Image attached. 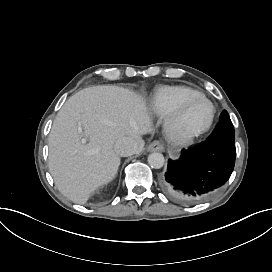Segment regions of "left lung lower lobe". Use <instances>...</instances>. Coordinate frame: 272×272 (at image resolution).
Wrapping results in <instances>:
<instances>
[{
  "label": "left lung lower lobe",
  "mask_w": 272,
  "mask_h": 272,
  "mask_svg": "<svg viewBox=\"0 0 272 272\" xmlns=\"http://www.w3.org/2000/svg\"><path fill=\"white\" fill-rule=\"evenodd\" d=\"M235 145L207 141L168 161L161 188L180 204L193 205L219 192L235 165Z\"/></svg>",
  "instance_id": "left-lung-lower-lobe-1"
}]
</instances>
